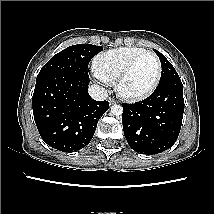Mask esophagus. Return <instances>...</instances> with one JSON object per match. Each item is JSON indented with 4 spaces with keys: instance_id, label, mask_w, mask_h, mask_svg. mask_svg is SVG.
Segmentation results:
<instances>
[{
    "instance_id": "obj_1",
    "label": "esophagus",
    "mask_w": 214,
    "mask_h": 214,
    "mask_svg": "<svg viewBox=\"0 0 214 214\" xmlns=\"http://www.w3.org/2000/svg\"><path fill=\"white\" fill-rule=\"evenodd\" d=\"M109 103H110V104H114V103H117V101H116L115 99H113V98H110V99H109Z\"/></svg>"
}]
</instances>
